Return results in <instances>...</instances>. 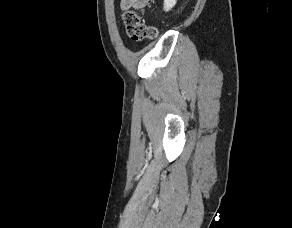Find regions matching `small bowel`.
Masks as SVG:
<instances>
[{"mask_svg": "<svg viewBox=\"0 0 292 228\" xmlns=\"http://www.w3.org/2000/svg\"><path fill=\"white\" fill-rule=\"evenodd\" d=\"M148 0H121L120 7L122 10L130 8L139 9L147 4Z\"/></svg>", "mask_w": 292, "mask_h": 228, "instance_id": "obj_1", "label": "small bowel"}]
</instances>
